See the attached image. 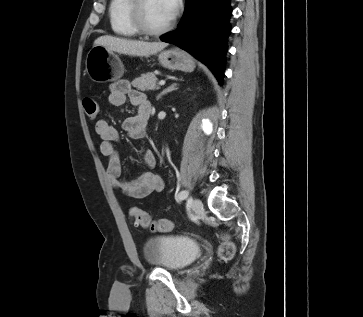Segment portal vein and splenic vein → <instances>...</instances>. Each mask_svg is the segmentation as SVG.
Masks as SVG:
<instances>
[{"label": "portal vein and splenic vein", "instance_id": "1", "mask_svg": "<svg viewBox=\"0 0 363 317\" xmlns=\"http://www.w3.org/2000/svg\"><path fill=\"white\" fill-rule=\"evenodd\" d=\"M159 85H160V86L165 85V81H164V80H161V81L159 82Z\"/></svg>", "mask_w": 363, "mask_h": 317}]
</instances>
